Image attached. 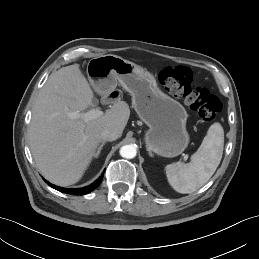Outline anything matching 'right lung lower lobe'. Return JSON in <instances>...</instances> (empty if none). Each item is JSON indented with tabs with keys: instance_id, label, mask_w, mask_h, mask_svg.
<instances>
[{
	"instance_id": "1",
	"label": "right lung lower lobe",
	"mask_w": 259,
	"mask_h": 259,
	"mask_svg": "<svg viewBox=\"0 0 259 259\" xmlns=\"http://www.w3.org/2000/svg\"><path fill=\"white\" fill-rule=\"evenodd\" d=\"M104 176V172L103 174L98 178V180H96L93 184L83 187V188H77V189H73V188H62V187H58L55 186L49 182H47L45 179L44 181L52 188L61 191L63 193H67V194H71V195H85L90 193L91 191H93L94 189H96L99 185L100 182L102 181V178Z\"/></svg>"
}]
</instances>
